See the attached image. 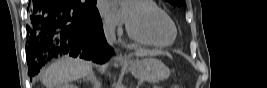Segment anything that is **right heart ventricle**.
Here are the masks:
<instances>
[{"mask_svg":"<svg viewBox=\"0 0 267 88\" xmlns=\"http://www.w3.org/2000/svg\"><path fill=\"white\" fill-rule=\"evenodd\" d=\"M140 1H143L145 4H147L151 8L159 9L163 13H165L154 1H151V0H140Z\"/></svg>","mask_w":267,"mask_h":88,"instance_id":"right-heart-ventricle-1","label":"right heart ventricle"}]
</instances>
